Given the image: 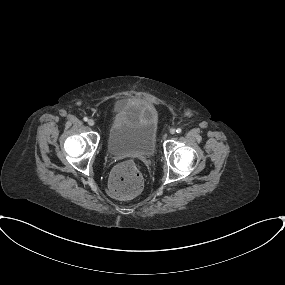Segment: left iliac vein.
Here are the masks:
<instances>
[{"label": "left iliac vein", "instance_id": "4c4485c4", "mask_svg": "<svg viewBox=\"0 0 285 285\" xmlns=\"http://www.w3.org/2000/svg\"><path fill=\"white\" fill-rule=\"evenodd\" d=\"M169 132H170V134H175L176 130H175L174 128H171V129L169 130Z\"/></svg>", "mask_w": 285, "mask_h": 285}]
</instances>
